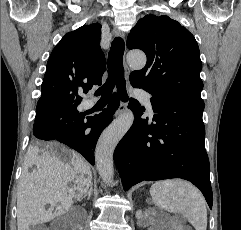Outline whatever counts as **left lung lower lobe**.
Wrapping results in <instances>:
<instances>
[{"label":"left lung lower lobe","mask_w":241,"mask_h":230,"mask_svg":"<svg viewBox=\"0 0 241 230\" xmlns=\"http://www.w3.org/2000/svg\"><path fill=\"white\" fill-rule=\"evenodd\" d=\"M151 103L156 124L148 125L139 102L130 99L136 120L114 151L124 190L141 181L182 178L197 186L212 208L202 112L154 96Z\"/></svg>","instance_id":"left-lung-lower-lobe-1"}]
</instances>
